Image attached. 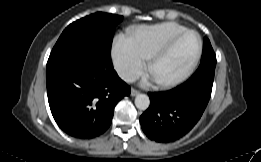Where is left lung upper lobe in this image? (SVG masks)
<instances>
[{"label": "left lung upper lobe", "instance_id": "obj_1", "mask_svg": "<svg viewBox=\"0 0 261 162\" xmlns=\"http://www.w3.org/2000/svg\"><path fill=\"white\" fill-rule=\"evenodd\" d=\"M204 66H216V55L210 41L207 38H204L203 53L199 68Z\"/></svg>", "mask_w": 261, "mask_h": 162}]
</instances>
